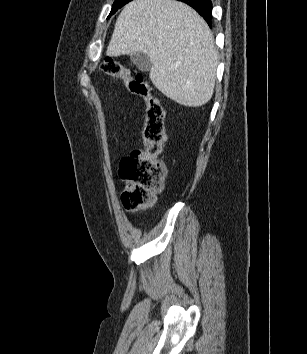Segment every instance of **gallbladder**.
<instances>
[{
  "mask_svg": "<svg viewBox=\"0 0 307 354\" xmlns=\"http://www.w3.org/2000/svg\"><path fill=\"white\" fill-rule=\"evenodd\" d=\"M130 60L141 71H149L152 66L150 58L143 52L131 53Z\"/></svg>",
  "mask_w": 307,
  "mask_h": 354,
  "instance_id": "gallbladder-1",
  "label": "gallbladder"
}]
</instances>
